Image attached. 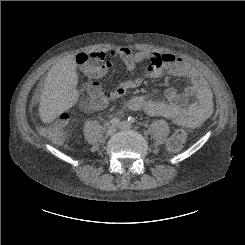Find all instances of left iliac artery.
<instances>
[{"label": "left iliac artery", "mask_w": 245, "mask_h": 245, "mask_svg": "<svg viewBox=\"0 0 245 245\" xmlns=\"http://www.w3.org/2000/svg\"><path fill=\"white\" fill-rule=\"evenodd\" d=\"M127 120H128L129 123H134L135 122V118L132 117V116L128 117Z\"/></svg>", "instance_id": "obj_1"}]
</instances>
